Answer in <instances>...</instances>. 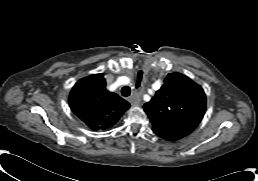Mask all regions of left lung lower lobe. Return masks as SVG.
<instances>
[{"label":"left lung lower lobe","mask_w":258,"mask_h":181,"mask_svg":"<svg viewBox=\"0 0 258 181\" xmlns=\"http://www.w3.org/2000/svg\"><path fill=\"white\" fill-rule=\"evenodd\" d=\"M163 139H166V140H169V141H173L172 139H170V138H163Z\"/></svg>","instance_id":"obj_1"}]
</instances>
